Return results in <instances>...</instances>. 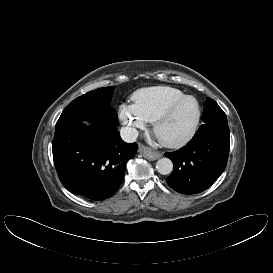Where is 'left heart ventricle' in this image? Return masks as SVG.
<instances>
[{
  "label": "left heart ventricle",
  "mask_w": 273,
  "mask_h": 273,
  "mask_svg": "<svg viewBox=\"0 0 273 273\" xmlns=\"http://www.w3.org/2000/svg\"><path fill=\"white\" fill-rule=\"evenodd\" d=\"M197 114L196 104L186 100L177 106L159 128L160 138L173 141L184 136L191 128Z\"/></svg>",
  "instance_id": "b2bd125f"
}]
</instances>
